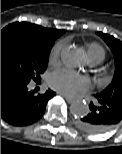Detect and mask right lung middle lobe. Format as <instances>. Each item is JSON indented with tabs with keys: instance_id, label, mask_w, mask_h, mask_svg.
Here are the masks:
<instances>
[{
	"instance_id": "obj_1",
	"label": "right lung middle lobe",
	"mask_w": 122,
	"mask_h": 154,
	"mask_svg": "<svg viewBox=\"0 0 122 154\" xmlns=\"http://www.w3.org/2000/svg\"><path fill=\"white\" fill-rule=\"evenodd\" d=\"M54 40L38 36L27 23L16 22L2 29L1 80L25 84L39 80Z\"/></svg>"
}]
</instances>
